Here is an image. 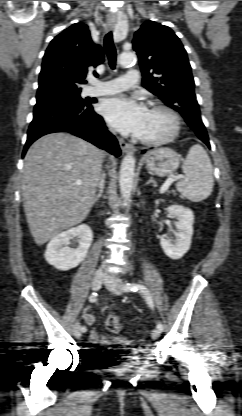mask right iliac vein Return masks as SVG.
<instances>
[{
	"instance_id": "right-iliac-vein-1",
	"label": "right iliac vein",
	"mask_w": 242,
	"mask_h": 416,
	"mask_svg": "<svg viewBox=\"0 0 242 416\" xmlns=\"http://www.w3.org/2000/svg\"><path fill=\"white\" fill-rule=\"evenodd\" d=\"M103 280H104L103 273L101 271H96L92 278V283H91L92 289L94 291H97L101 287ZM73 331H74L75 337L79 339L82 335L79 322L75 323Z\"/></svg>"
}]
</instances>
